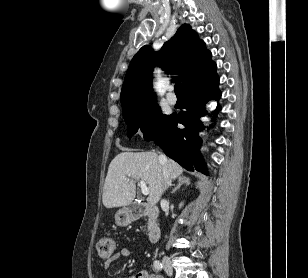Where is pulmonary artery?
Here are the masks:
<instances>
[{"label":"pulmonary artery","instance_id":"obj_1","mask_svg":"<svg viewBox=\"0 0 308 278\" xmlns=\"http://www.w3.org/2000/svg\"><path fill=\"white\" fill-rule=\"evenodd\" d=\"M166 98H167V101L174 105L176 102H177V97L176 95L173 93V89L172 88H169L168 89V93L166 95Z\"/></svg>","mask_w":308,"mask_h":278}]
</instances>
